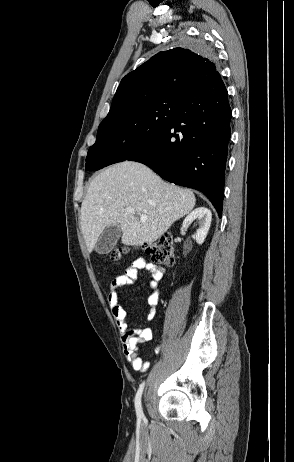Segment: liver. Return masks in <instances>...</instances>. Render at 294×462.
<instances>
[{
    "label": "liver",
    "instance_id": "1",
    "mask_svg": "<svg viewBox=\"0 0 294 462\" xmlns=\"http://www.w3.org/2000/svg\"><path fill=\"white\" fill-rule=\"evenodd\" d=\"M195 203L192 191L166 183L141 163L124 161L91 181L81 205V231L89 252L104 229L114 225L122 231L123 244L152 243ZM127 208H134L135 214L128 213ZM140 214H145L146 220H141Z\"/></svg>",
    "mask_w": 294,
    "mask_h": 462
}]
</instances>
